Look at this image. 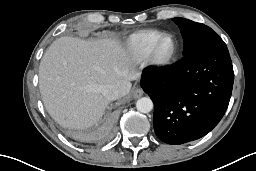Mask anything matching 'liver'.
<instances>
[{
	"mask_svg": "<svg viewBox=\"0 0 256 171\" xmlns=\"http://www.w3.org/2000/svg\"><path fill=\"white\" fill-rule=\"evenodd\" d=\"M139 77L118 41L65 36L55 40L42 57L39 89L46 110L58 124L86 129L97 124L109 104L103 86H116L123 97L130 92V81Z\"/></svg>",
	"mask_w": 256,
	"mask_h": 171,
	"instance_id": "liver-1",
	"label": "liver"
}]
</instances>
